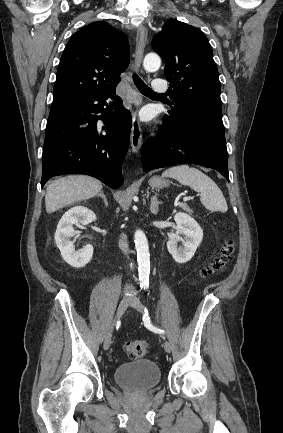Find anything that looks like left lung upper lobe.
<instances>
[{
    "mask_svg": "<svg viewBox=\"0 0 283 433\" xmlns=\"http://www.w3.org/2000/svg\"><path fill=\"white\" fill-rule=\"evenodd\" d=\"M152 47L165 61L174 121H199L224 132L218 70L212 48L198 28L170 20L153 38Z\"/></svg>",
    "mask_w": 283,
    "mask_h": 433,
    "instance_id": "left-lung-upper-lobe-1",
    "label": "left lung upper lobe"
}]
</instances>
